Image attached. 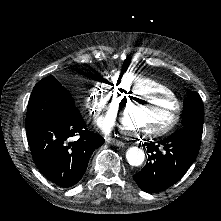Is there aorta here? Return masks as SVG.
I'll return each mask as SVG.
<instances>
[{
	"instance_id": "obj_1",
	"label": "aorta",
	"mask_w": 221,
	"mask_h": 221,
	"mask_svg": "<svg viewBox=\"0 0 221 221\" xmlns=\"http://www.w3.org/2000/svg\"><path fill=\"white\" fill-rule=\"evenodd\" d=\"M126 159L132 166H140L145 159V154L142 149L138 147H131L126 152Z\"/></svg>"
}]
</instances>
